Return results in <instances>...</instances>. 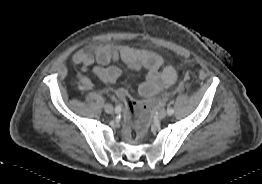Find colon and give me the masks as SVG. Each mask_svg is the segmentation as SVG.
<instances>
[{"mask_svg":"<svg viewBox=\"0 0 262 184\" xmlns=\"http://www.w3.org/2000/svg\"><path fill=\"white\" fill-rule=\"evenodd\" d=\"M188 80V75L184 77V81ZM181 86H179L180 88ZM178 88V89H179ZM177 89V90H178ZM175 91H168L161 96L152 98L151 100L139 103L133 100L128 92L124 88H118L116 90L117 97L125 104L128 114V127L132 132V138L137 139L140 135L144 133L149 122V110L156 106L158 103L167 98L170 94L175 93Z\"/></svg>","mask_w":262,"mask_h":184,"instance_id":"1","label":"colon"}]
</instances>
